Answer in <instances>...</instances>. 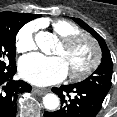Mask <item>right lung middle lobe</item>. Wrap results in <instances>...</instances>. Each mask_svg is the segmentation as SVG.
<instances>
[{"label": "right lung middle lobe", "instance_id": "obj_1", "mask_svg": "<svg viewBox=\"0 0 117 117\" xmlns=\"http://www.w3.org/2000/svg\"><path fill=\"white\" fill-rule=\"evenodd\" d=\"M29 22L22 13L0 14V71L16 65L15 39L19 29Z\"/></svg>", "mask_w": 117, "mask_h": 117}]
</instances>
